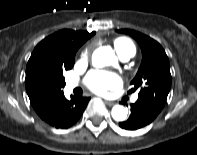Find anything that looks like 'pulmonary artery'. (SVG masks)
<instances>
[{"label": "pulmonary artery", "instance_id": "e3ab8cb5", "mask_svg": "<svg viewBox=\"0 0 197 155\" xmlns=\"http://www.w3.org/2000/svg\"><path fill=\"white\" fill-rule=\"evenodd\" d=\"M131 57H132V56L129 55V54L120 56V58H121L122 61H128ZM76 86H77V83L74 82V81H69V82L67 83V88H68L69 90L74 89ZM136 100H137V96H134V97L132 98V102H135Z\"/></svg>", "mask_w": 197, "mask_h": 155}]
</instances>
